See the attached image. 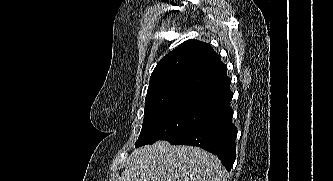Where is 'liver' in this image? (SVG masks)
Here are the masks:
<instances>
[{
	"instance_id": "6515ba94",
	"label": "liver",
	"mask_w": 333,
	"mask_h": 181,
	"mask_svg": "<svg viewBox=\"0 0 333 181\" xmlns=\"http://www.w3.org/2000/svg\"><path fill=\"white\" fill-rule=\"evenodd\" d=\"M220 160L199 147L167 141L136 149L118 181H225Z\"/></svg>"
}]
</instances>
